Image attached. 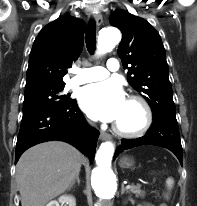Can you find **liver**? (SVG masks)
<instances>
[{
	"instance_id": "obj_1",
	"label": "liver",
	"mask_w": 197,
	"mask_h": 206,
	"mask_svg": "<svg viewBox=\"0 0 197 206\" xmlns=\"http://www.w3.org/2000/svg\"><path fill=\"white\" fill-rule=\"evenodd\" d=\"M84 156L73 146L50 141L29 148L16 166L22 206H45L71 187Z\"/></svg>"
}]
</instances>
